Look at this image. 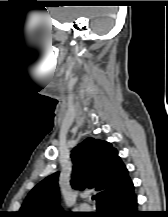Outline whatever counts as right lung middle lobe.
I'll use <instances>...</instances> for the list:
<instances>
[{
  "label": "right lung middle lobe",
  "mask_w": 168,
  "mask_h": 217,
  "mask_svg": "<svg viewBox=\"0 0 168 217\" xmlns=\"http://www.w3.org/2000/svg\"><path fill=\"white\" fill-rule=\"evenodd\" d=\"M72 215H58V216H55V217H70Z\"/></svg>",
  "instance_id": "right-lung-middle-lobe-1"
}]
</instances>
